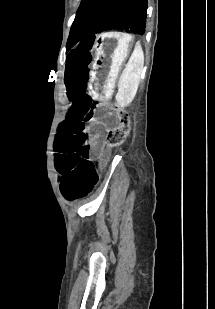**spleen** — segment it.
I'll return each instance as SVG.
<instances>
[{"instance_id": "spleen-1", "label": "spleen", "mask_w": 215, "mask_h": 309, "mask_svg": "<svg viewBox=\"0 0 215 309\" xmlns=\"http://www.w3.org/2000/svg\"><path fill=\"white\" fill-rule=\"evenodd\" d=\"M143 64L144 52L140 42H136L135 48L119 80V90L116 94L119 106H129L130 102H132L138 90Z\"/></svg>"}]
</instances>
